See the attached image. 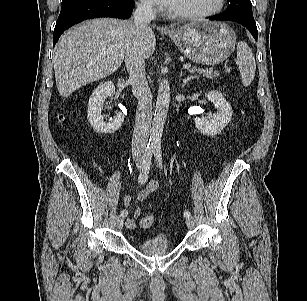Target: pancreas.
Here are the masks:
<instances>
[{"label":"pancreas","mask_w":307,"mask_h":301,"mask_svg":"<svg viewBox=\"0 0 307 301\" xmlns=\"http://www.w3.org/2000/svg\"><path fill=\"white\" fill-rule=\"evenodd\" d=\"M189 71L192 73L196 72L198 74H202L204 77L209 79H213L215 77H218L219 75L218 71H214L213 69H201L197 67H192Z\"/></svg>","instance_id":"pancreas-1"}]
</instances>
